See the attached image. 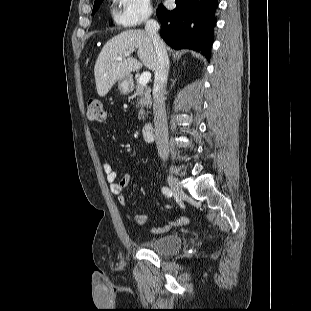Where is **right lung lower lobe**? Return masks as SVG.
<instances>
[{
    "label": "right lung lower lobe",
    "mask_w": 311,
    "mask_h": 311,
    "mask_svg": "<svg viewBox=\"0 0 311 311\" xmlns=\"http://www.w3.org/2000/svg\"><path fill=\"white\" fill-rule=\"evenodd\" d=\"M175 3L174 10L160 5L156 11L162 25L161 37L175 49H193L209 58L218 0H175Z\"/></svg>",
    "instance_id": "98d812e1"
}]
</instances>
